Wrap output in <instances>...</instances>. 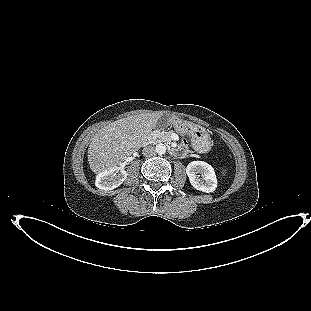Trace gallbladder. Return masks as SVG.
Returning a JSON list of instances; mask_svg holds the SVG:
<instances>
[{"mask_svg":"<svg viewBox=\"0 0 311 311\" xmlns=\"http://www.w3.org/2000/svg\"><path fill=\"white\" fill-rule=\"evenodd\" d=\"M170 121V117L168 114H163L157 121V127L167 126Z\"/></svg>","mask_w":311,"mask_h":311,"instance_id":"bac80fb5","label":"gallbladder"}]
</instances>
